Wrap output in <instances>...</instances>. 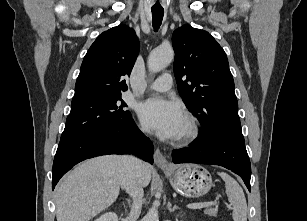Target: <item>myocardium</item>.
Returning <instances> with one entry per match:
<instances>
[{"label":"myocardium","instance_id":"myocardium-1","mask_svg":"<svg viewBox=\"0 0 307 221\" xmlns=\"http://www.w3.org/2000/svg\"><path fill=\"white\" fill-rule=\"evenodd\" d=\"M184 119L188 124V129L184 134L178 136L175 139V143L177 145H187L195 141L200 134V126L198 120L193 114L186 113L184 115Z\"/></svg>","mask_w":307,"mask_h":221}]
</instances>
